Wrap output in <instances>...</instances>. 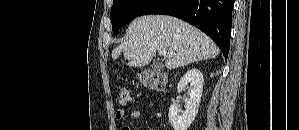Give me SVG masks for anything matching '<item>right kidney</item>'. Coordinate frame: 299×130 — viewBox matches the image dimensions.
<instances>
[{
    "label": "right kidney",
    "instance_id": "right-kidney-1",
    "mask_svg": "<svg viewBox=\"0 0 299 130\" xmlns=\"http://www.w3.org/2000/svg\"><path fill=\"white\" fill-rule=\"evenodd\" d=\"M203 82V75L196 68L188 70L179 81L178 93L190 85V97L186 100L184 112H181L177 104H172L169 108V121L174 130H187L194 121L202 96Z\"/></svg>",
    "mask_w": 299,
    "mask_h": 130
}]
</instances>
